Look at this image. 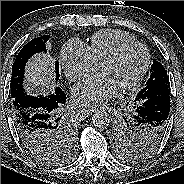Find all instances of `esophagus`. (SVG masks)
Segmentation results:
<instances>
[{"mask_svg": "<svg viewBox=\"0 0 184 184\" xmlns=\"http://www.w3.org/2000/svg\"><path fill=\"white\" fill-rule=\"evenodd\" d=\"M95 110L91 109H81V112H83L84 115H89L90 113L94 112Z\"/></svg>", "mask_w": 184, "mask_h": 184, "instance_id": "34e87169", "label": "esophagus"}]
</instances>
